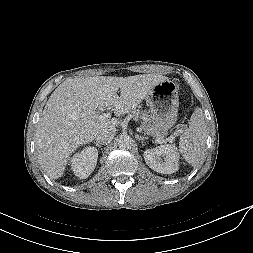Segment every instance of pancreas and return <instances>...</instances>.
I'll return each instance as SVG.
<instances>
[{"label": "pancreas", "instance_id": "cf45deb5", "mask_svg": "<svg viewBox=\"0 0 253 253\" xmlns=\"http://www.w3.org/2000/svg\"><path fill=\"white\" fill-rule=\"evenodd\" d=\"M135 120H138V118H141L144 122L142 125V129L147 134H150L156 138L161 139L163 137L164 132L159 131L158 129L154 128L152 124L149 122L150 118L148 115H146L144 112L134 109L129 113Z\"/></svg>", "mask_w": 253, "mask_h": 253}]
</instances>
